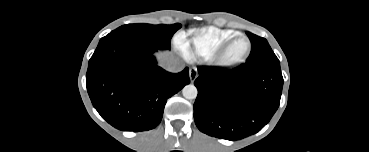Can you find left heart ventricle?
Here are the masks:
<instances>
[{
    "mask_svg": "<svg viewBox=\"0 0 369 152\" xmlns=\"http://www.w3.org/2000/svg\"><path fill=\"white\" fill-rule=\"evenodd\" d=\"M247 50V42L244 39L237 40L229 49L228 57L236 59L241 57Z\"/></svg>",
    "mask_w": 369,
    "mask_h": 152,
    "instance_id": "1",
    "label": "left heart ventricle"
}]
</instances>
